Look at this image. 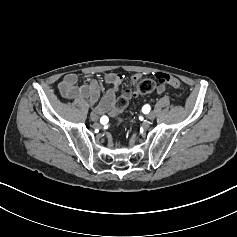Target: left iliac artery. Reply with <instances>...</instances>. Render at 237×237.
<instances>
[{"mask_svg":"<svg viewBox=\"0 0 237 237\" xmlns=\"http://www.w3.org/2000/svg\"><path fill=\"white\" fill-rule=\"evenodd\" d=\"M143 113H148L150 111V106L149 105H144L142 108Z\"/></svg>","mask_w":237,"mask_h":237,"instance_id":"left-iliac-artery-1","label":"left iliac artery"}]
</instances>
